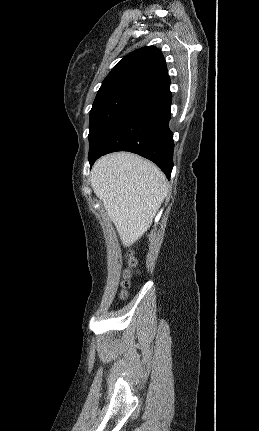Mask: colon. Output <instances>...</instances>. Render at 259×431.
Wrapping results in <instances>:
<instances>
[{"label": "colon", "instance_id": "1", "mask_svg": "<svg viewBox=\"0 0 259 431\" xmlns=\"http://www.w3.org/2000/svg\"><path fill=\"white\" fill-rule=\"evenodd\" d=\"M128 264L129 267H134L136 265V260L134 258H130L128 260ZM132 275V271L131 270H126L125 271V281H124V287H126L128 285V279L130 278V276ZM122 296L125 295V291L122 292L121 294Z\"/></svg>", "mask_w": 259, "mask_h": 431}]
</instances>
